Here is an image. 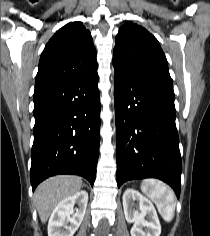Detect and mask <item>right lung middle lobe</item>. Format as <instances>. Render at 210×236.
Here are the masks:
<instances>
[{
  "instance_id": "obj_1",
  "label": "right lung middle lobe",
  "mask_w": 210,
  "mask_h": 236,
  "mask_svg": "<svg viewBox=\"0 0 210 236\" xmlns=\"http://www.w3.org/2000/svg\"><path fill=\"white\" fill-rule=\"evenodd\" d=\"M44 91H37V92H34V95H38V94H41L43 93Z\"/></svg>"
}]
</instances>
